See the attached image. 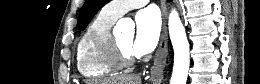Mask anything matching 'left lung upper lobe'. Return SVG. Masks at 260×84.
Returning <instances> with one entry per match:
<instances>
[{
  "label": "left lung upper lobe",
  "instance_id": "obj_1",
  "mask_svg": "<svg viewBox=\"0 0 260 84\" xmlns=\"http://www.w3.org/2000/svg\"><path fill=\"white\" fill-rule=\"evenodd\" d=\"M108 2L109 0H86L78 18V29L84 30L98 10Z\"/></svg>",
  "mask_w": 260,
  "mask_h": 84
}]
</instances>
